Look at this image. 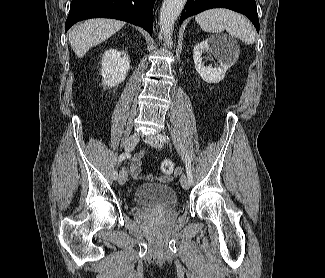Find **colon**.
Here are the masks:
<instances>
[{
  "label": "colon",
  "mask_w": 325,
  "mask_h": 278,
  "mask_svg": "<svg viewBox=\"0 0 325 278\" xmlns=\"http://www.w3.org/2000/svg\"><path fill=\"white\" fill-rule=\"evenodd\" d=\"M175 165L171 160H165L161 164V173L164 179H169L173 174Z\"/></svg>",
  "instance_id": "5ec220e1"
}]
</instances>
